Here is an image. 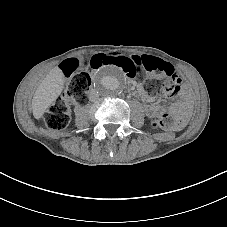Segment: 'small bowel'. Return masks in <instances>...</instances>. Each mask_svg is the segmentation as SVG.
<instances>
[{"label": "small bowel", "mask_w": 227, "mask_h": 227, "mask_svg": "<svg viewBox=\"0 0 227 227\" xmlns=\"http://www.w3.org/2000/svg\"><path fill=\"white\" fill-rule=\"evenodd\" d=\"M181 90V87L180 89ZM138 94L141 99L145 102V112L151 118L159 117L164 111V107L155 101L154 96L147 93L142 86L138 87ZM170 112L176 114L180 118V123L182 124L187 117V106L183 102H178L170 108Z\"/></svg>", "instance_id": "obj_1"}]
</instances>
